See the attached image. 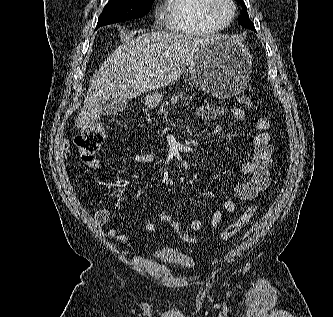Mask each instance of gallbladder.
Segmentation results:
<instances>
[{
  "label": "gallbladder",
  "mask_w": 333,
  "mask_h": 317,
  "mask_svg": "<svg viewBox=\"0 0 333 317\" xmlns=\"http://www.w3.org/2000/svg\"><path fill=\"white\" fill-rule=\"evenodd\" d=\"M128 100L120 96H113L103 104L102 113L104 115H118L127 106Z\"/></svg>",
  "instance_id": "1"
}]
</instances>
